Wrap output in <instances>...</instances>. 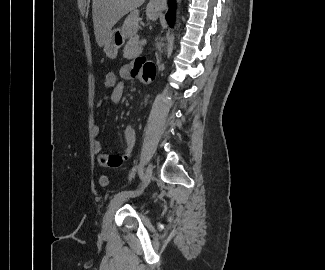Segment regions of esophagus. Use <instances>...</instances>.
<instances>
[{
	"label": "esophagus",
	"instance_id": "34e87169",
	"mask_svg": "<svg viewBox=\"0 0 325 270\" xmlns=\"http://www.w3.org/2000/svg\"><path fill=\"white\" fill-rule=\"evenodd\" d=\"M148 5L149 7L160 11L167 7L166 0H150Z\"/></svg>",
	"mask_w": 325,
	"mask_h": 270
}]
</instances>
